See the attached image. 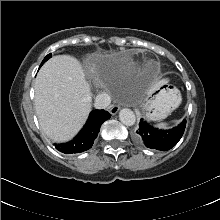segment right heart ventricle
Returning <instances> with one entry per match:
<instances>
[{
  "label": "right heart ventricle",
  "mask_w": 220,
  "mask_h": 220,
  "mask_svg": "<svg viewBox=\"0 0 220 220\" xmlns=\"http://www.w3.org/2000/svg\"><path fill=\"white\" fill-rule=\"evenodd\" d=\"M121 73L120 69H111L105 72L104 76L107 78H114Z\"/></svg>",
  "instance_id": "obj_1"
}]
</instances>
